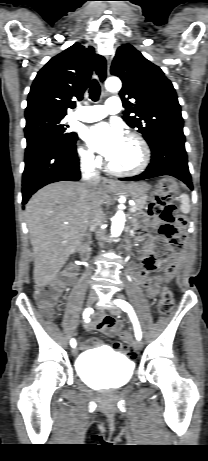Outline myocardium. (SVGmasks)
Returning a JSON list of instances; mask_svg holds the SVG:
<instances>
[{
    "label": "myocardium",
    "mask_w": 208,
    "mask_h": 461,
    "mask_svg": "<svg viewBox=\"0 0 208 461\" xmlns=\"http://www.w3.org/2000/svg\"><path fill=\"white\" fill-rule=\"evenodd\" d=\"M126 138L133 140L138 146L140 154H141V161L136 167L132 169L122 170V169L115 168L112 165L111 161L109 160L107 163V168L109 172L117 176H134V175L140 174L147 168L150 162V150L144 138L140 134L135 133V132L128 133L126 135Z\"/></svg>",
    "instance_id": "myocardium-1"
}]
</instances>
